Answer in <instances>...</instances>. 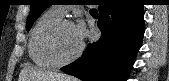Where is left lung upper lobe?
<instances>
[{
  "instance_id": "obj_1",
  "label": "left lung upper lobe",
  "mask_w": 169,
  "mask_h": 81,
  "mask_svg": "<svg viewBox=\"0 0 169 81\" xmlns=\"http://www.w3.org/2000/svg\"><path fill=\"white\" fill-rule=\"evenodd\" d=\"M50 5V0H31V10L27 20V31L30 30L35 20Z\"/></svg>"
}]
</instances>
